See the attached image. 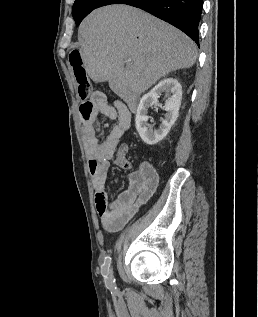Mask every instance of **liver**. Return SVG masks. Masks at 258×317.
<instances>
[{
	"label": "liver",
	"instance_id": "liver-1",
	"mask_svg": "<svg viewBox=\"0 0 258 317\" xmlns=\"http://www.w3.org/2000/svg\"><path fill=\"white\" fill-rule=\"evenodd\" d=\"M78 36L84 40L80 54L88 76L109 80L122 98L128 90L142 94L161 76L189 68L197 58L187 34L128 4L95 8L82 20Z\"/></svg>",
	"mask_w": 258,
	"mask_h": 317
}]
</instances>
